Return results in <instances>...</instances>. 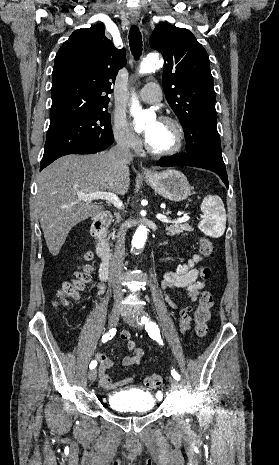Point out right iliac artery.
<instances>
[{
  "label": "right iliac artery",
  "instance_id": "right-iliac-artery-1",
  "mask_svg": "<svg viewBox=\"0 0 279 465\" xmlns=\"http://www.w3.org/2000/svg\"><path fill=\"white\" fill-rule=\"evenodd\" d=\"M116 334V329L113 328L111 329L108 333L104 334L103 337H102V342H107L109 339L112 338V336H114ZM97 366V361L93 360L90 364V369H93Z\"/></svg>",
  "mask_w": 279,
  "mask_h": 465
}]
</instances>
